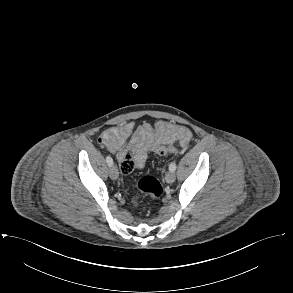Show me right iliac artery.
Returning <instances> with one entry per match:
<instances>
[{
    "mask_svg": "<svg viewBox=\"0 0 293 293\" xmlns=\"http://www.w3.org/2000/svg\"><path fill=\"white\" fill-rule=\"evenodd\" d=\"M106 162L108 164V166H112L113 165V159L110 156L106 157Z\"/></svg>",
    "mask_w": 293,
    "mask_h": 293,
    "instance_id": "obj_1",
    "label": "right iliac artery"
}]
</instances>
